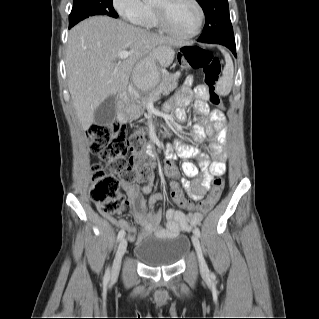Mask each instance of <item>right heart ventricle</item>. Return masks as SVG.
<instances>
[{
	"label": "right heart ventricle",
	"mask_w": 319,
	"mask_h": 319,
	"mask_svg": "<svg viewBox=\"0 0 319 319\" xmlns=\"http://www.w3.org/2000/svg\"><path fill=\"white\" fill-rule=\"evenodd\" d=\"M142 25L145 27H156L158 25L155 16L153 4H146V12L142 20Z\"/></svg>",
	"instance_id": "right-heart-ventricle-1"
}]
</instances>
